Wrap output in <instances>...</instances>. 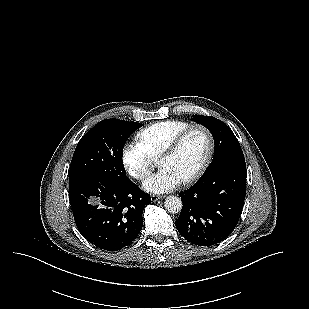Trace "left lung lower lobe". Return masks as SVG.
I'll list each match as a JSON object with an SVG mask.
<instances>
[{
	"label": "left lung lower lobe",
	"mask_w": 309,
	"mask_h": 309,
	"mask_svg": "<svg viewBox=\"0 0 309 309\" xmlns=\"http://www.w3.org/2000/svg\"><path fill=\"white\" fill-rule=\"evenodd\" d=\"M245 194L244 157L205 171L193 186L180 193L183 208L176 220L178 232L199 246L223 241L238 223Z\"/></svg>",
	"instance_id": "left-lung-lower-lobe-1"
}]
</instances>
